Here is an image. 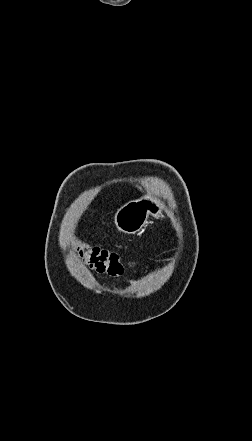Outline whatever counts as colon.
I'll return each instance as SVG.
<instances>
[{
    "instance_id": "1",
    "label": "colon",
    "mask_w": 252,
    "mask_h": 441,
    "mask_svg": "<svg viewBox=\"0 0 252 441\" xmlns=\"http://www.w3.org/2000/svg\"><path fill=\"white\" fill-rule=\"evenodd\" d=\"M75 248L88 265L99 273L116 276L124 272L126 263L117 252L91 246L79 239L76 241Z\"/></svg>"
}]
</instances>
